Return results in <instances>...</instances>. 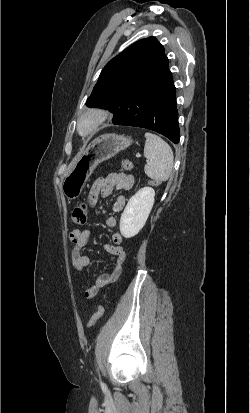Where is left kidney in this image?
<instances>
[{
	"mask_svg": "<svg viewBox=\"0 0 250 413\" xmlns=\"http://www.w3.org/2000/svg\"><path fill=\"white\" fill-rule=\"evenodd\" d=\"M154 197V189L144 187L129 199L120 219V232L123 237L132 238L144 227L152 210Z\"/></svg>",
	"mask_w": 250,
	"mask_h": 413,
	"instance_id": "obj_1",
	"label": "left kidney"
}]
</instances>
